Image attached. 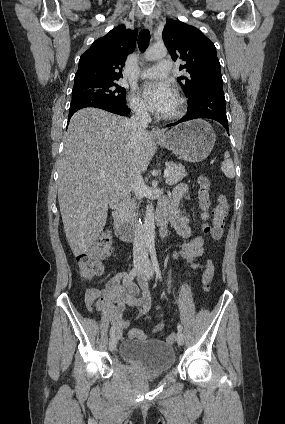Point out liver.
<instances>
[{
  "mask_svg": "<svg viewBox=\"0 0 285 424\" xmlns=\"http://www.w3.org/2000/svg\"><path fill=\"white\" fill-rule=\"evenodd\" d=\"M128 123V118L97 108L81 109L70 120L58 163V201L75 256L94 244L108 206L128 194L133 175L145 172L152 159L151 135L145 131L133 145Z\"/></svg>",
  "mask_w": 285,
  "mask_h": 424,
  "instance_id": "1",
  "label": "liver"
}]
</instances>
